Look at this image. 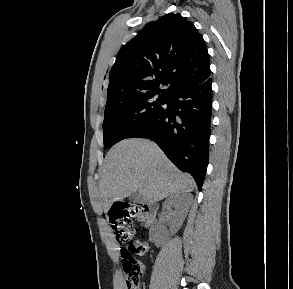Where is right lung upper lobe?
<instances>
[{"label": "right lung upper lobe", "instance_id": "cb5924a9", "mask_svg": "<svg viewBox=\"0 0 293 289\" xmlns=\"http://www.w3.org/2000/svg\"><path fill=\"white\" fill-rule=\"evenodd\" d=\"M210 73L202 36L192 22L170 13L148 23L118 52L109 73L106 105L150 92L169 96L205 82Z\"/></svg>", "mask_w": 293, "mask_h": 289}]
</instances>
